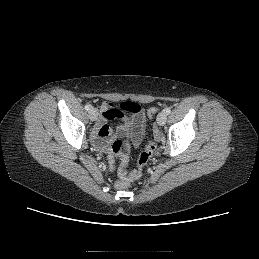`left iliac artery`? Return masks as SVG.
Instances as JSON below:
<instances>
[{
    "instance_id": "44dca946",
    "label": "left iliac artery",
    "mask_w": 259,
    "mask_h": 259,
    "mask_svg": "<svg viewBox=\"0 0 259 259\" xmlns=\"http://www.w3.org/2000/svg\"><path fill=\"white\" fill-rule=\"evenodd\" d=\"M164 111H165V112H166V114L168 115V114H170L171 109H170V108H166Z\"/></svg>"
}]
</instances>
